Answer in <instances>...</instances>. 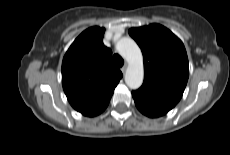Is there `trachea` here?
Here are the masks:
<instances>
[{
	"label": "trachea",
	"instance_id": "3493384b",
	"mask_svg": "<svg viewBox=\"0 0 230 155\" xmlns=\"http://www.w3.org/2000/svg\"><path fill=\"white\" fill-rule=\"evenodd\" d=\"M113 62H114V64H115L117 67H122L123 64H124L123 58H122L120 55H118V54H115V55L113 56Z\"/></svg>",
	"mask_w": 230,
	"mask_h": 155
}]
</instances>
